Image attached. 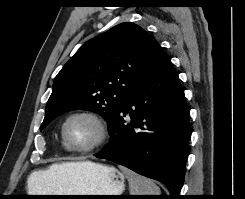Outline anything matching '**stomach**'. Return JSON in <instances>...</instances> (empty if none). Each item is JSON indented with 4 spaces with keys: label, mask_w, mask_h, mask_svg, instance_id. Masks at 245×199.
<instances>
[{
    "label": "stomach",
    "mask_w": 245,
    "mask_h": 199,
    "mask_svg": "<svg viewBox=\"0 0 245 199\" xmlns=\"http://www.w3.org/2000/svg\"><path fill=\"white\" fill-rule=\"evenodd\" d=\"M124 175L114 167L89 163L74 170L65 184V190L49 195H121L125 188ZM48 195V194H47ZM52 199H102L101 196H76Z\"/></svg>",
    "instance_id": "1"
}]
</instances>
